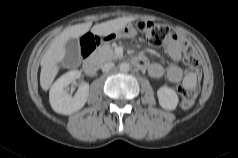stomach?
Wrapping results in <instances>:
<instances>
[{
	"instance_id": "1",
	"label": "stomach",
	"mask_w": 238,
	"mask_h": 158,
	"mask_svg": "<svg viewBox=\"0 0 238 158\" xmlns=\"http://www.w3.org/2000/svg\"><path fill=\"white\" fill-rule=\"evenodd\" d=\"M137 35L136 29L132 25H127L109 36L112 38H133Z\"/></svg>"
}]
</instances>
